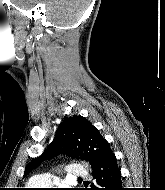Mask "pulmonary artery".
<instances>
[{
  "label": "pulmonary artery",
  "instance_id": "pulmonary-artery-1",
  "mask_svg": "<svg viewBox=\"0 0 165 190\" xmlns=\"http://www.w3.org/2000/svg\"><path fill=\"white\" fill-rule=\"evenodd\" d=\"M66 171L67 177L70 178H83L88 175V171L81 164H71ZM33 181L39 185H49L51 178L49 175H38Z\"/></svg>",
  "mask_w": 165,
  "mask_h": 190
}]
</instances>
